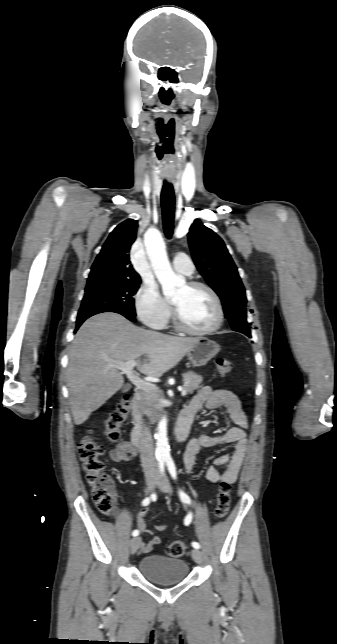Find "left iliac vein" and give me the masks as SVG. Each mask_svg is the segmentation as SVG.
I'll list each match as a JSON object with an SVG mask.
<instances>
[{
  "instance_id": "4c4485c4",
  "label": "left iliac vein",
  "mask_w": 337,
  "mask_h": 644,
  "mask_svg": "<svg viewBox=\"0 0 337 644\" xmlns=\"http://www.w3.org/2000/svg\"><path fill=\"white\" fill-rule=\"evenodd\" d=\"M160 489H161L162 492H170V484H169V481H168L167 477H165L162 480V482L160 483ZM191 555H192V558L194 559V561L196 563H198V564L202 563L203 555H202V552L199 549H196V548L193 549L191 551Z\"/></svg>"
}]
</instances>
